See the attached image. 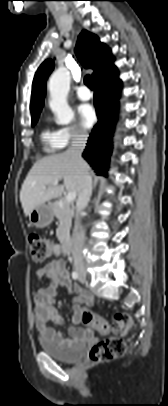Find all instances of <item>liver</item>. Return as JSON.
Instances as JSON below:
<instances>
[{
    "label": "liver",
    "instance_id": "6515ba94",
    "mask_svg": "<svg viewBox=\"0 0 168 406\" xmlns=\"http://www.w3.org/2000/svg\"><path fill=\"white\" fill-rule=\"evenodd\" d=\"M84 166L89 171L88 164ZM82 166L67 151L46 156L34 163L20 191V201L25 216L37 206L62 195L64 189L79 194L81 190ZM64 180L63 185L52 186L55 181Z\"/></svg>",
    "mask_w": 168,
    "mask_h": 406
}]
</instances>
